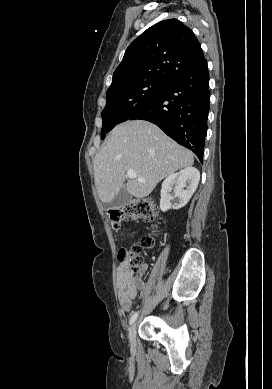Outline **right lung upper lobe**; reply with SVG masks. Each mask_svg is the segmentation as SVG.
<instances>
[{
    "label": "right lung upper lobe",
    "mask_w": 272,
    "mask_h": 389,
    "mask_svg": "<svg viewBox=\"0 0 272 389\" xmlns=\"http://www.w3.org/2000/svg\"><path fill=\"white\" fill-rule=\"evenodd\" d=\"M203 59L190 28L177 19L161 21L129 45L107 91L144 80L166 83Z\"/></svg>",
    "instance_id": "right-lung-upper-lobe-1"
}]
</instances>
